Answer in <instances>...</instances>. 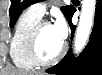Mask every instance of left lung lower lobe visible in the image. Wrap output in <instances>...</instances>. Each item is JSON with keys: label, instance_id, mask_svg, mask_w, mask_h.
<instances>
[{"label": "left lung lower lobe", "instance_id": "obj_1", "mask_svg": "<svg viewBox=\"0 0 102 75\" xmlns=\"http://www.w3.org/2000/svg\"><path fill=\"white\" fill-rule=\"evenodd\" d=\"M74 10L67 19L71 26L72 37L75 26L71 23ZM57 75H102V0H97L94 28L84 51L74 59L71 49L55 66L46 70Z\"/></svg>", "mask_w": 102, "mask_h": 75}]
</instances>
